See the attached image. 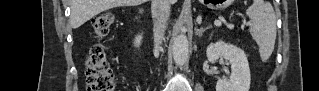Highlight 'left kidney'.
Returning <instances> with one entry per match:
<instances>
[{
  "instance_id": "5707ae66",
  "label": "left kidney",
  "mask_w": 319,
  "mask_h": 91,
  "mask_svg": "<svg viewBox=\"0 0 319 91\" xmlns=\"http://www.w3.org/2000/svg\"><path fill=\"white\" fill-rule=\"evenodd\" d=\"M206 54L211 63H215L220 57H223L231 64L232 74L230 79H219L216 84V91H249L250 68L243 50L233 44L217 41L209 44Z\"/></svg>"
}]
</instances>
